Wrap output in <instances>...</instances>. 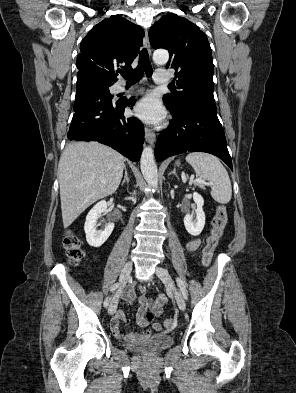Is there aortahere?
I'll use <instances>...</instances> for the list:
<instances>
[{
    "mask_svg": "<svg viewBox=\"0 0 296 393\" xmlns=\"http://www.w3.org/2000/svg\"><path fill=\"white\" fill-rule=\"evenodd\" d=\"M169 59V53L166 50H156L153 53V60L157 64H164ZM141 172L146 180V182L157 188L158 186V172L157 166L154 160V154L151 147H145L142 151L140 160Z\"/></svg>",
    "mask_w": 296,
    "mask_h": 393,
    "instance_id": "aorta-1",
    "label": "aorta"
}]
</instances>
